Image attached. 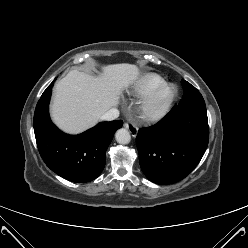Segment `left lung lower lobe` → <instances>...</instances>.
<instances>
[{
	"label": "left lung lower lobe",
	"instance_id": "1",
	"mask_svg": "<svg viewBox=\"0 0 248 248\" xmlns=\"http://www.w3.org/2000/svg\"><path fill=\"white\" fill-rule=\"evenodd\" d=\"M209 140L204 100L175 106L157 124L139 130V162L145 176L156 184L185 178L200 162Z\"/></svg>",
	"mask_w": 248,
	"mask_h": 248
}]
</instances>
